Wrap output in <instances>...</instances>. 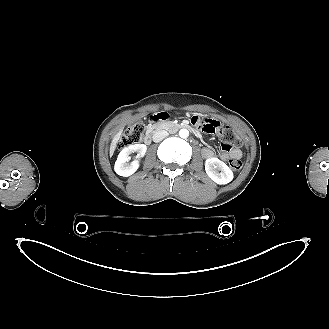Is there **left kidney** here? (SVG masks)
<instances>
[{
  "instance_id": "obj_1",
  "label": "left kidney",
  "mask_w": 329,
  "mask_h": 329,
  "mask_svg": "<svg viewBox=\"0 0 329 329\" xmlns=\"http://www.w3.org/2000/svg\"><path fill=\"white\" fill-rule=\"evenodd\" d=\"M205 171L215 183L220 185L233 180L232 170L223 161L215 157L206 159Z\"/></svg>"
}]
</instances>
